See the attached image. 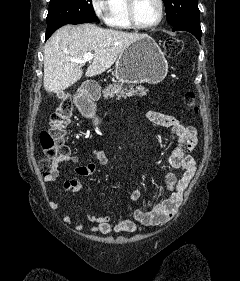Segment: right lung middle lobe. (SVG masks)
Returning a JSON list of instances; mask_svg holds the SVG:
<instances>
[{
    "label": "right lung middle lobe",
    "mask_w": 240,
    "mask_h": 281,
    "mask_svg": "<svg viewBox=\"0 0 240 281\" xmlns=\"http://www.w3.org/2000/svg\"><path fill=\"white\" fill-rule=\"evenodd\" d=\"M95 21L97 18L91 0H50L46 38L63 25Z\"/></svg>",
    "instance_id": "right-lung-middle-lobe-1"
}]
</instances>
